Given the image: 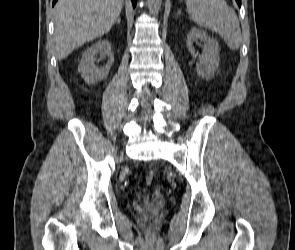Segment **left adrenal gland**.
I'll use <instances>...</instances> for the list:
<instances>
[{
  "label": "left adrenal gland",
  "instance_id": "a2214340",
  "mask_svg": "<svg viewBox=\"0 0 295 250\" xmlns=\"http://www.w3.org/2000/svg\"><path fill=\"white\" fill-rule=\"evenodd\" d=\"M179 14H181V11L180 10L177 11L176 15H179Z\"/></svg>",
  "mask_w": 295,
  "mask_h": 250
}]
</instances>
